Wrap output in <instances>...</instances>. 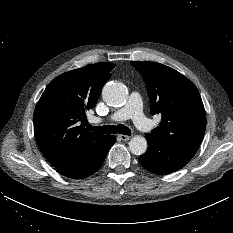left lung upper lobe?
Segmentation results:
<instances>
[{
    "label": "left lung upper lobe",
    "mask_w": 233,
    "mask_h": 233,
    "mask_svg": "<svg viewBox=\"0 0 233 233\" xmlns=\"http://www.w3.org/2000/svg\"><path fill=\"white\" fill-rule=\"evenodd\" d=\"M148 90L152 115L159 126L146 135L165 144L198 148L206 129V114L196 86L178 71L156 62H131Z\"/></svg>",
    "instance_id": "obj_1"
}]
</instances>
